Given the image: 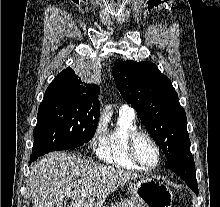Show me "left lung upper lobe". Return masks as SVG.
Here are the masks:
<instances>
[{
	"mask_svg": "<svg viewBox=\"0 0 220 207\" xmlns=\"http://www.w3.org/2000/svg\"><path fill=\"white\" fill-rule=\"evenodd\" d=\"M112 73L121 96L135 108L166 158L189 155L186 114L170 79L150 61H119Z\"/></svg>",
	"mask_w": 220,
	"mask_h": 207,
	"instance_id": "obj_1",
	"label": "left lung upper lobe"
}]
</instances>
